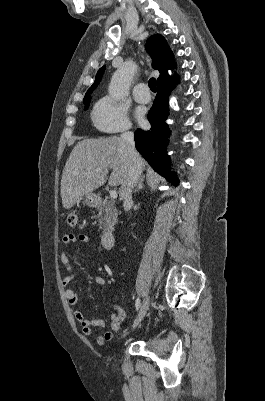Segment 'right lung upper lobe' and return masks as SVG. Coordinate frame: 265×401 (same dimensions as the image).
<instances>
[{
    "mask_svg": "<svg viewBox=\"0 0 265 401\" xmlns=\"http://www.w3.org/2000/svg\"><path fill=\"white\" fill-rule=\"evenodd\" d=\"M146 49L151 54L153 58V67L160 71V76L158 77V88L160 87H172L177 79H172L167 70L170 68H175V63L173 60L172 52L169 46L160 34L152 35L148 38L146 43ZM105 66L99 69L96 75L95 82L87 91L84 101L90 99V94L98 86L102 75L104 73Z\"/></svg>",
    "mask_w": 265,
    "mask_h": 401,
    "instance_id": "right-lung-upper-lobe-1",
    "label": "right lung upper lobe"
}]
</instances>
